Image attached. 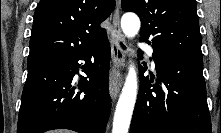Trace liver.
Instances as JSON below:
<instances>
[{
    "instance_id": "1",
    "label": "liver",
    "mask_w": 221,
    "mask_h": 133,
    "mask_svg": "<svg viewBox=\"0 0 221 133\" xmlns=\"http://www.w3.org/2000/svg\"><path fill=\"white\" fill-rule=\"evenodd\" d=\"M53 133H70L68 130H55Z\"/></svg>"
}]
</instances>
